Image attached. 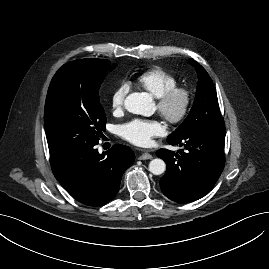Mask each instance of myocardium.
Masks as SVG:
<instances>
[{"label": "myocardium", "mask_w": 269, "mask_h": 269, "mask_svg": "<svg viewBox=\"0 0 269 269\" xmlns=\"http://www.w3.org/2000/svg\"><path fill=\"white\" fill-rule=\"evenodd\" d=\"M192 95L188 88L175 86L156 98L157 110L170 124L183 122L189 114Z\"/></svg>", "instance_id": "myocardium-1"}]
</instances>
